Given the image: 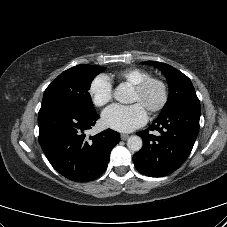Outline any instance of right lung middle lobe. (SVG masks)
I'll use <instances>...</instances> for the list:
<instances>
[{
	"mask_svg": "<svg viewBox=\"0 0 227 227\" xmlns=\"http://www.w3.org/2000/svg\"><path fill=\"white\" fill-rule=\"evenodd\" d=\"M103 67L81 64L62 72L45 90L41 108L64 104L86 113H96L89 89Z\"/></svg>",
	"mask_w": 227,
	"mask_h": 227,
	"instance_id": "obj_1",
	"label": "right lung middle lobe"
}]
</instances>
